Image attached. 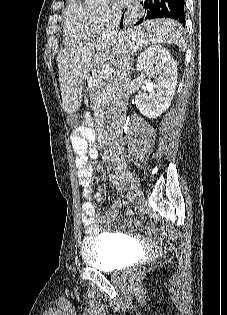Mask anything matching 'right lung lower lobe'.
I'll return each mask as SVG.
<instances>
[{"label": "right lung lower lobe", "mask_w": 227, "mask_h": 315, "mask_svg": "<svg viewBox=\"0 0 227 315\" xmlns=\"http://www.w3.org/2000/svg\"><path fill=\"white\" fill-rule=\"evenodd\" d=\"M145 8V15L137 24L143 20L168 17L178 20L180 23L184 22V0H144L142 2ZM121 19L120 27L122 24Z\"/></svg>", "instance_id": "1"}]
</instances>
